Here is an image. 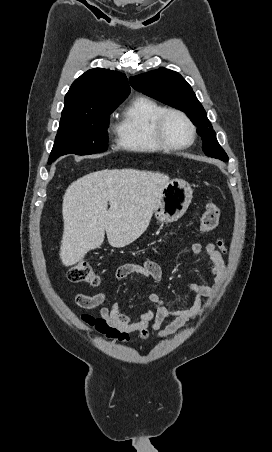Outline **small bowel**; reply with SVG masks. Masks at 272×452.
<instances>
[{
  "label": "small bowel",
  "instance_id": "1",
  "mask_svg": "<svg viewBox=\"0 0 272 452\" xmlns=\"http://www.w3.org/2000/svg\"><path fill=\"white\" fill-rule=\"evenodd\" d=\"M190 249L195 259L209 261L208 276L213 283L192 281L186 284L185 292L192 298L189 308L181 309L177 306L176 309L171 310L158 293L151 291L148 293L147 299L153 309L149 308L134 318H130L120 311L117 304L104 305L107 298L105 292L91 295L78 294L76 301L81 308L99 310L98 317L91 314H82V322L107 338L123 343L129 341L131 332H138L142 338H148L150 331L157 332L160 338H166L176 333L189 319L201 312L203 298L213 296L225 276L227 248L222 239L206 245L194 242ZM132 274L143 275L156 283L162 280L160 266L151 259H146L142 263H126L116 270L118 280L125 279ZM166 320H170L169 324L162 327Z\"/></svg>",
  "mask_w": 272,
  "mask_h": 452
}]
</instances>
